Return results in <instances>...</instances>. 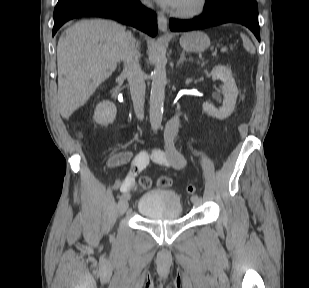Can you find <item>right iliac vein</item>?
<instances>
[{"label":"right iliac vein","instance_id":"obj_1","mask_svg":"<svg viewBox=\"0 0 309 288\" xmlns=\"http://www.w3.org/2000/svg\"><path fill=\"white\" fill-rule=\"evenodd\" d=\"M128 208V199H120L118 202V212L119 214H124Z\"/></svg>","mask_w":309,"mask_h":288}]
</instances>
